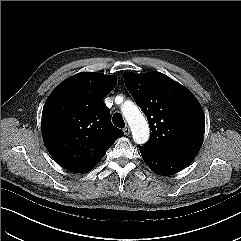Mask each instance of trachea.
Listing matches in <instances>:
<instances>
[{
    "label": "trachea",
    "instance_id": "obj_1",
    "mask_svg": "<svg viewBox=\"0 0 241 241\" xmlns=\"http://www.w3.org/2000/svg\"><path fill=\"white\" fill-rule=\"evenodd\" d=\"M112 120H113V123H114V125H115L116 127H119V128H124V127H125V122H124L121 114L115 113V114L113 115Z\"/></svg>",
    "mask_w": 241,
    "mask_h": 241
}]
</instances>
